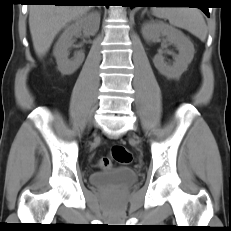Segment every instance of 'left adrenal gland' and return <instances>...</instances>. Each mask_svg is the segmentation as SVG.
Returning a JSON list of instances; mask_svg holds the SVG:
<instances>
[{"label":"left adrenal gland","instance_id":"1","mask_svg":"<svg viewBox=\"0 0 231 231\" xmlns=\"http://www.w3.org/2000/svg\"><path fill=\"white\" fill-rule=\"evenodd\" d=\"M145 13H146V10H144V11L142 12V15H141V16L143 17V15H144Z\"/></svg>","mask_w":231,"mask_h":231}]
</instances>
